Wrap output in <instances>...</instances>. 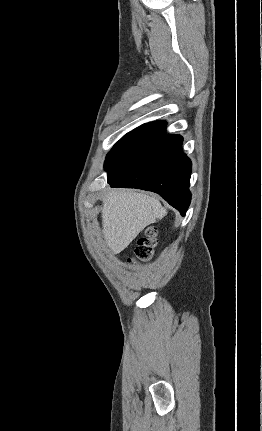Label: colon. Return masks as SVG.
<instances>
[{"label":"colon","mask_w":262,"mask_h":431,"mask_svg":"<svg viewBox=\"0 0 262 431\" xmlns=\"http://www.w3.org/2000/svg\"><path fill=\"white\" fill-rule=\"evenodd\" d=\"M155 242V230L149 228L145 235L141 236L138 241L134 251V258L131 259L132 262L136 260H148L152 255V248Z\"/></svg>","instance_id":"5ec220e1"}]
</instances>
